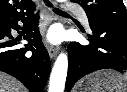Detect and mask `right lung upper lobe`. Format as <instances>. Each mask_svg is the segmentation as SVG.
<instances>
[{"label": "right lung upper lobe", "mask_w": 127, "mask_h": 92, "mask_svg": "<svg viewBox=\"0 0 127 92\" xmlns=\"http://www.w3.org/2000/svg\"><path fill=\"white\" fill-rule=\"evenodd\" d=\"M33 8L32 0H0V25L26 16Z\"/></svg>", "instance_id": "right-lung-upper-lobe-1"}]
</instances>
